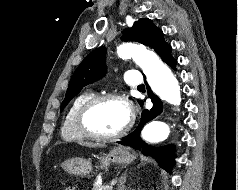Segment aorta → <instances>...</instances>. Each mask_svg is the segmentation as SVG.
Listing matches in <instances>:
<instances>
[{
  "label": "aorta",
  "instance_id": "1",
  "mask_svg": "<svg viewBox=\"0 0 238 190\" xmlns=\"http://www.w3.org/2000/svg\"><path fill=\"white\" fill-rule=\"evenodd\" d=\"M117 54L123 59L132 58L143 70L152 91L162 100L179 105L181 102L180 86L169 69L159 57L144 46L134 43H123L117 49ZM170 129L166 122L154 120L148 123L142 137L149 143H160L169 136Z\"/></svg>",
  "mask_w": 238,
  "mask_h": 190
}]
</instances>
